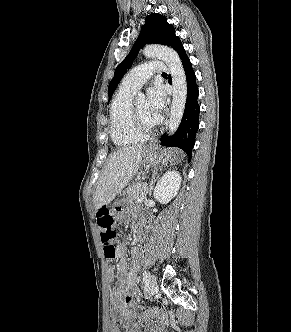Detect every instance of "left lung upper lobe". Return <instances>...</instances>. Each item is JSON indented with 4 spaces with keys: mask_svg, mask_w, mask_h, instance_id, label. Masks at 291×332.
Instances as JSON below:
<instances>
[{
    "mask_svg": "<svg viewBox=\"0 0 291 332\" xmlns=\"http://www.w3.org/2000/svg\"><path fill=\"white\" fill-rule=\"evenodd\" d=\"M149 43L167 45L176 50L177 53L183 48L181 40L175 35L174 27L167 23L166 17L158 13L147 16L145 25L131 51L115 69L114 77L108 87L109 100L124 74L132 66L140 48Z\"/></svg>",
    "mask_w": 291,
    "mask_h": 332,
    "instance_id": "1",
    "label": "left lung upper lobe"
}]
</instances>
